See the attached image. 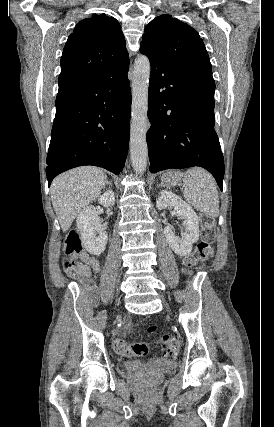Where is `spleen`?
I'll list each match as a JSON object with an SVG mask.
<instances>
[{
	"instance_id": "3e777b00",
	"label": "spleen",
	"mask_w": 274,
	"mask_h": 427,
	"mask_svg": "<svg viewBox=\"0 0 274 427\" xmlns=\"http://www.w3.org/2000/svg\"><path fill=\"white\" fill-rule=\"evenodd\" d=\"M183 194L186 202L201 214L219 215L218 190L216 182L203 168L187 170L183 176Z\"/></svg>"
}]
</instances>
